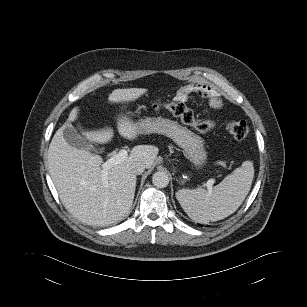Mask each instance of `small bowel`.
Wrapping results in <instances>:
<instances>
[{"label": "small bowel", "instance_id": "obj_1", "mask_svg": "<svg viewBox=\"0 0 307 307\" xmlns=\"http://www.w3.org/2000/svg\"><path fill=\"white\" fill-rule=\"evenodd\" d=\"M192 94L205 98L212 108L218 109L222 106V100L216 90L204 83H192L181 87L176 92L175 100L185 103Z\"/></svg>", "mask_w": 307, "mask_h": 307}]
</instances>
